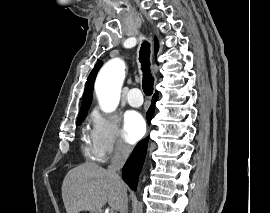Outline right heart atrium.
<instances>
[{
    "mask_svg": "<svg viewBox=\"0 0 270 213\" xmlns=\"http://www.w3.org/2000/svg\"><path fill=\"white\" fill-rule=\"evenodd\" d=\"M93 141L102 162L111 158H121L128 154L129 147L121 140L114 116L96 113L93 116Z\"/></svg>",
    "mask_w": 270,
    "mask_h": 213,
    "instance_id": "1",
    "label": "right heart atrium"
}]
</instances>
